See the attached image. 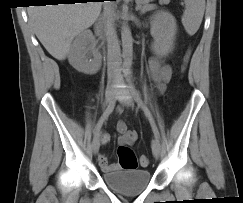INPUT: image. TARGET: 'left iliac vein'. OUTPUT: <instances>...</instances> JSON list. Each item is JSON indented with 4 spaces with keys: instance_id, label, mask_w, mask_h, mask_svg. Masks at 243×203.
<instances>
[{
    "instance_id": "1",
    "label": "left iliac vein",
    "mask_w": 243,
    "mask_h": 203,
    "mask_svg": "<svg viewBox=\"0 0 243 203\" xmlns=\"http://www.w3.org/2000/svg\"><path fill=\"white\" fill-rule=\"evenodd\" d=\"M116 95L118 97L122 96L119 99V101L123 106H125L127 108L133 107L134 101H133V98L130 96V93H129L128 90H124L123 93L121 91H118ZM151 147H152L153 155L155 156V158H158L160 156V153H161V145H160V142L157 138H154L152 140Z\"/></svg>"
}]
</instances>
